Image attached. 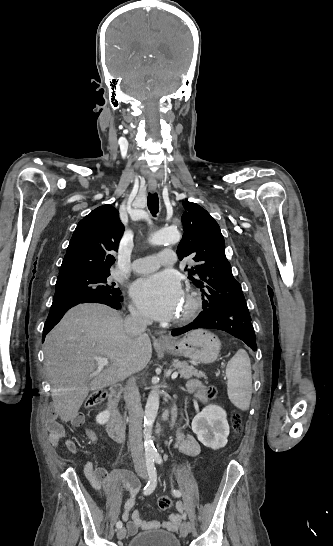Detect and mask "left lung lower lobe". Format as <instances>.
Wrapping results in <instances>:
<instances>
[{
    "instance_id": "left-lung-lower-lobe-1",
    "label": "left lung lower lobe",
    "mask_w": 333,
    "mask_h": 546,
    "mask_svg": "<svg viewBox=\"0 0 333 546\" xmlns=\"http://www.w3.org/2000/svg\"><path fill=\"white\" fill-rule=\"evenodd\" d=\"M209 328L230 333L244 341L253 351L257 350L255 331L246 302L222 304L212 302L208 310H203L193 323L174 329L173 336L193 329Z\"/></svg>"
}]
</instances>
